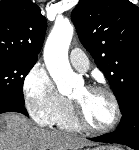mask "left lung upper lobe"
<instances>
[{"mask_svg": "<svg viewBox=\"0 0 139 150\" xmlns=\"http://www.w3.org/2000/svg\"><path fill=\"white\" fill-rule=\"evenodd\" d=\"M71 18L122 109L139 92V8L129 0H80Z\"/></svg>", "mask_w": 139, "mask_h": 150, "instance_id": "1", "label": "left lung upper lobe"}]
</instances>
